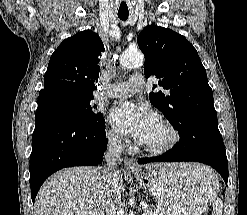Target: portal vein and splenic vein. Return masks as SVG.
<instances>
[{"label":"portal vein and splenic vein","instance_id":"portal-vein-and-splenic-vein-1","mask_svg":"<svg viewBox=\"0 0 247 215\" xmlns=\"http://www.w3.org/2000/svg\"><path fill=\"white\" fill-rule=\"evenodd\" d=\"M141 206H142V207H146L145 204H141ZM123 214H124V210H123V209H119V210L117 211V215H123Z\"/></svg>","mask_w":247,"mask_h":215}]
</instances>
